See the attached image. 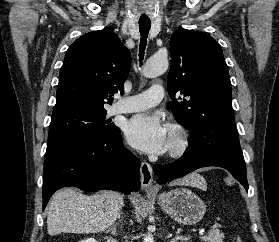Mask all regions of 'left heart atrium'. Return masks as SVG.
<instances>
[{
	"label": "left heart atrium",
	"instance_id": "obj_1",
	"mask_svg": "<svg viewBox=\"0 0 279 242\" xmlns=\"http://www.w3.org/2000/svg\"><path fill=\"white\" fill-rule=\"evenodd\" d=\"M125 131L128 143L146 153L160 155L169 148V128L157 114L134 116L127 123Z\"/></svg>",
	"mask_w": 279,
	"mask_h": 242
}]
</instances>
